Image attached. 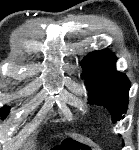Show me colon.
<instances>
[{
  "label": "colon",
  "instance_id": "5ec220e1",
  "mask_svg": "<svg viewBox=\"0 0 139 150\" xmlns=\"http://www.w3.org/2000/svg\"><path fill=\"white\" fill-rule=\"evenodd\" d=\"M51 150H88L87 148L80 147L73 141H64L61 145L52 148Z\"/></svg>",
  "mask_w": 139,
  "mask_h": 150
}]
</instances>
